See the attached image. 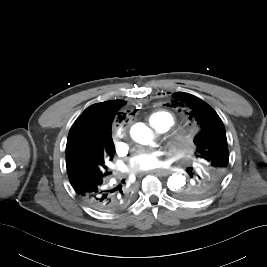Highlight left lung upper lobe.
Instances as JSON below:
<instances>
[{
  "label": "left lung upper lobe",
  "instance_id": "left-lung-upper-lobe-1",
  "mask_svg": "<svg viewBox=\"0 0 267 267\" xmlns=\"http://www.w3.org/2000/svg\"><path fill=\"white\" fill-rule=\"evenodd\" d=\"M171 106L185 111L201 128L194 139L199 169L194 170L193 180L177 195L183 200L205 198L216 190L228 171L229 153L223 122L207 103L189 93H174Z\"/></svg>",
  "mask_w": 267,
  "mask_h": 267
}]
</instances>
